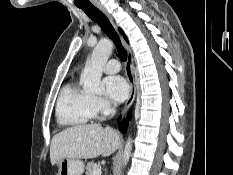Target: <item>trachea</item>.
<instances>
[{"label":"trachea","mask_w":233,"mask_h":175,"mask_svg":"<svg viewBox=\"0 0 233 175\" xmlns=\"http://www.w3.org/2000/svg\"><path fill=\"white\" fill-rule=\"evenodd\" d=\"M77 7L82 9L89 18L95 21L102 28V30L106 33V35L114 42L118 51L119 58L122 61H126L127 52L122 46L120 38L116 33L115 29L113 28L112 24L110 23V21L108 20V18L91 3L77 5Z\"/></svg>","instance_id":"obj_1"}]
</instances>
